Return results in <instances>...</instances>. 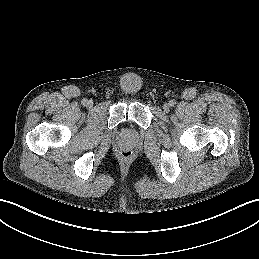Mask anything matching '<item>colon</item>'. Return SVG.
<instances>
[{
  "mask_svg": "<svg viewBox=\"0 0 259 259\" xmlns=\"http://www.w3.org/2000/svg\"><path fill=\"white\" fill-rule=\"evenodd\" d=\"M131 156H132V152H131L130 150H123V151L121 152V157H122L123 159H125V160L130 159Z\"/></svg>",
  "mask_w": 259,
  "mask_h": 259,
  "instance_id": "5ec220e1",
  "label": "colon"
}]
</instances>
